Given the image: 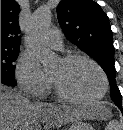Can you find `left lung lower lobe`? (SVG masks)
I'll return each mask as SVG.
<instances>
[{
    "mask_svg": "<svg viewBox=\"0 0 123 130\" xmlns=\"http://www.w3.org/2000/svg\"><path fill=\"white\" fill-rule=\"evenodd\" d=\"M118 108L122 110V107H118ZM122 112H123V111H122Z\"/></svg>",
    "mask_w": 123,
    "mask_h": 130,
    "instance_id": "obj_1",
    "label": "left lung lower lobe"
}]
</instances>
